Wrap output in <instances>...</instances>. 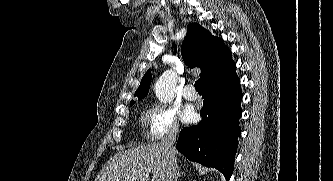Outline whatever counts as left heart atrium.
Here are the masks:
<instances>
[{"instance_id": "39dd6f15", "label": "left heart atrium", "mask_w": 333, "mask_h": 181, "mask_svg": "<svg viewBox=\"0 0 333 181\" xmlns=\"http://www.w3.org/2000/svg\"><path fill=\"white\" fill-rule=\"evenodd\" d=\"M193 118H194L193 109L190 106H186L181 113V119L184 122H190L193 120Z\"/></svg>"}]
</instances>
